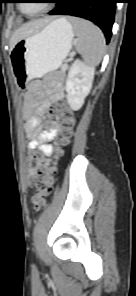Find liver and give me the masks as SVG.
Here are the masks:
<instances>
[{
    "label": "liver",
    "mask_w": 136,
    "mask_h": 296,
    "mask_svg": "<svg viewBox=\"0 0 136 296\" xmlns=\"http://www.w3.org/2000/svg\"><path fill=\"white\" fill-rule=\"evenodd\" d=\"M50 21V18L38 19L30 21L24 25H22L19 29H17L10 39V47L11 49L14 45L21 39L26 38L27 36L38 32L44 26H46Z\"/></svg>",
    "instance_id": "obj_1"
}]
</instances>
